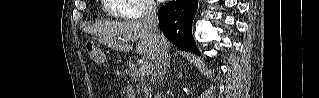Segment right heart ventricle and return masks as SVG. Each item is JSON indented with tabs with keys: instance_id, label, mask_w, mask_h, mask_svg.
Here are the masks:
<instances>
[{
	"instance_id": "1",
	"label": "right heart ventricle",
	"mask_w": 319,
	"mask_h": 98,
	"mask_svg": "<svg viewBox=\"0 0 319 98\" xmlns=\"http://www.w3.org/2000/svg\"><path fill=\"white\" fill-rule=\"evenodd\" d=\"M128 7L126 0H106V10L109 15L118 16Z\"/></svg>"
}]
</instances>
